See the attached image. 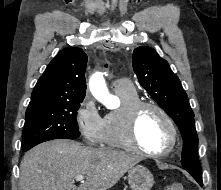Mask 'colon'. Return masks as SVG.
Masks as SVG:
<instances>
[{
    "instance_id": "colon-1",
    "label": "colon",
    "mask_w": 221,
    "mask_h": 190,
    "mask_svg": "<svg viewBox=\"0 0 221 190\" xmlns=\"http://www.w3.org/2000/svg\"><path fill=\"white\" fill-rule=\"evenodd\" d=\"M164 190H185L181 183L175 182L168 184Z\"/></svg>"
}]
</instances>
